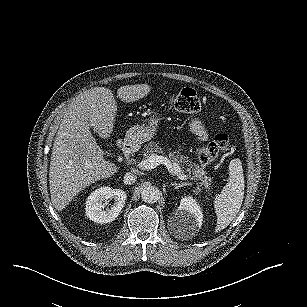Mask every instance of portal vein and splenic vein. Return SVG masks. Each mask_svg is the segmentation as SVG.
Listing matches in <instances>:
<instances>
[{"label": "portal vein and splenic vein", "instance_id": "1", "mask_svg": "<svg viewBox=\"0 0 307 307\" xmlns=\"http://www.w3.org/2000/svg\"><path fill=\"white\" fill-rule=\"evenodd\" d=\"M160 164L165 165L170 173L178 176L181 180L186 179V177L181 174V170L178 164L171 163L167 157L161 155L152 154L147 159L142 160L137 166L141 170H152Z\"/></svg>", "mask_w": 307, "mask_h": 307}]
</instances>
